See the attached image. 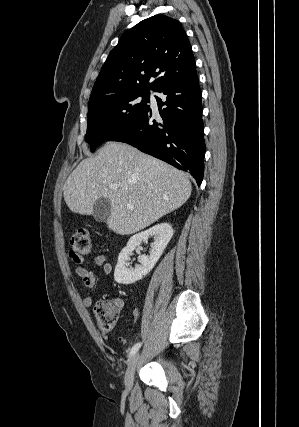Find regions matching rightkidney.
Here are the masks:
<instances>
[{
    "label": "right kidney",
    "mask_w": 299,
    "mask_h": 427,
    "mask_svg": "<svg viewBox=\"0 0 299 427\" xmlns=\"http://www.w3.org/2000/svg\"><path fill=\"white\" fill-rule=\"evenodd\" d=\"M151 236H154V243L151 244L150 254L140 256L138 258L140 264L136 265L135 268H129L127 264L129 256L142 241L148 240ZM172 236L173 229L168 223L157 224L144 232L132 236L127 246L118 256L114 271L115 281L119 284L128 285L141 280L153 269Z\"/></svg>",
    "instance_id": "ca27d5eb"
}]
</instances>
